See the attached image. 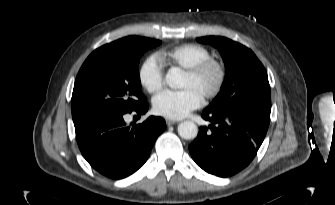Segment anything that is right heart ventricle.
<instances>
[{"label": "right heart ventricle", "instance_id": "e07e8e85", "mask_svg": "<svg viewBox=\"0 0 335 205\" xmlns=\"http://www.w3.org/2000/svg\"><path fill=\"white\" fill-rule=\"evenodd\" d=\"M162 60L170 66L188 69L210 58L211 53L202 45L186 43L160 53Z\"/></svg>", "mask_w": 335, "mask_h": 205}]
</instances>
